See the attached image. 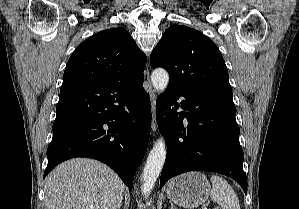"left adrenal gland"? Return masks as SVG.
<instances>
[{
	"mask_svg": "<svg viewBox=\"0 0 299 209\" xmlns=\"http://www.w3.org/2000/svg\"><path fill=\"white\" fill-rule=\"evenodd\" d=\"M170 209H176V207L173 204H171Z\"/></svg>",
	"mask_w": 299,
	"mask_h": 209,
	"instance_id": "a2214340",
	"label": "left adrenal gland"
}]
</instances>
